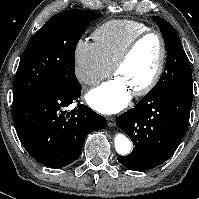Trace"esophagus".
Masks as SVG:
<instances>
[{
	"label": "esophagus",
	"instance_id": "esophagus-1",
	"mask_svg": "<svg viewBox=\"0 0 199 199\" xmlns=\"http://www.w3.org/2000/svg\"><path fill=\"white\" fill-rule=\"evenodd\" d=\"M108 126L113 127L115 126V118L113 116L107 117Z\"/></svg>",
	"mask_w": 199,
	"mask_h": 199
}]
</instances>
